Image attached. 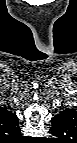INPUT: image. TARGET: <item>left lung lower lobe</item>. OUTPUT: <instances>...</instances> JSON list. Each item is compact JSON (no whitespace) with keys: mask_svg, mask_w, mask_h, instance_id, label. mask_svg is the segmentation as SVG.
<instances>
[{"mask_svg":"<svg viewBox=\"0 0 77 143\" xmlns=\"http://www.w3.org/2000/svg\"><path fill=\"white\" fill-rule=\"evenodd\" d=\"M74 114L73 110L70 109H66L62 112H60L59 114H57L53 119H52V123H58V122H63V121H67L68 119L72 118Z\"/></svg>","mask_w":77,"mask_h":143,"instance_id":"obj_1","label":"left lung lower lobe"}]
</instances>
